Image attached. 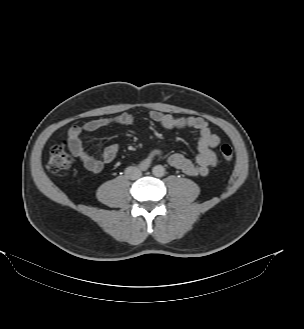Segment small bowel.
<instances>
[{"instance_id":"c3829d8e","label":"small bowel","mask_w":304,"mask_h":329,"mask_svg":"<svg viewBox=\"0 0 304 329\" xmlns=\"http://www.w3.org/2000/svg\"><path fill=\"white\" fill-rule=\"evenodd\" d=\"M149 118L166 129H179L192 131L198 140V153L195 161L182 154H172L168 158L169 164L188 176L203 177L217 165V157L214 149L220 144L218 135L211 132L208 123L201 117H175L160 111H151ZM134 117L129 113H122L110 118H99L88 121L83 126H73L68 131L69 148L72 154L78 158L84 167L98 173L105 164L111 163L117 156L119 147L111 144L105 147L102 158L97 159L87 150L81 136L84 132H94L111 125L131 126ZM159 150H152L139 162L142 167L148 166L153 160L161 157Z\"/></svg>"}]
</instances>
